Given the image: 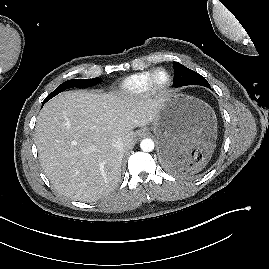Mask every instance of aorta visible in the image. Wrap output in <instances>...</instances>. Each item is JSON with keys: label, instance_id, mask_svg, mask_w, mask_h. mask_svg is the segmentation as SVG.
<instances>
[{"label": "aorta", "instance_id": "obj_1", "mask_svg": "<svg viewBox=\"0 0 269 269\" xmlns=\"http://www.w3.org/2000/svg\"><path fill=\"white\" fill-rule=\"evenodd\" d=\"M154 142L150 138H146L141 141L140 147L144 152H151L154 149Z\"/></svg>", "mask_w": 269, "mask_h": 269}]
</instances>
